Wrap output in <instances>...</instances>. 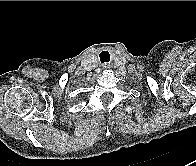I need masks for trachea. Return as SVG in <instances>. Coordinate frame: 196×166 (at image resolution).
Returning a JSON list of instances; mask_svg holds the SVG:
<instances>
[{
    "instance_id": "obj_1",
    "label": "trachea",
    "mask_w": 196,
    "mask_h": 166,
    "mask_svg": "<svg viewBox=\"0 0 196 166\" xmlns=\"http://www.w3.org/2000/svg\"><path fill=\"white\" fill-rule=\"evenodd\" d=\"M99 57H100V61L102 63L109 62V60H110V55H109V53L107 51L101 52Z\"/></svg>"
}]
</instances>
